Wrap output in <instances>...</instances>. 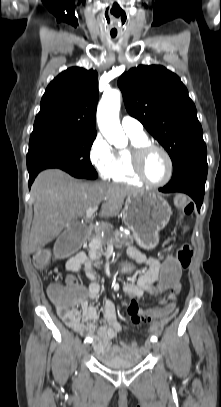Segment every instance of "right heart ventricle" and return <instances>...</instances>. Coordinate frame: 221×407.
Returning a JSON list of instances; mask_svg holds the SVG:
<instances>
[{"instance_id":"e07e8e85","label":"right heart ventricle","mask_w":221,"mask_h":407,"mask_svg":"<svg viewBox=\"0 0 221 407\" xmlns=\"http://www.w3.org/2000/svg\"><path fill=\"white\" fill-rule=\"evenodd\" d=\"M130 138L131 145L129 148L120 149L115 152V167L111 179L115 182L127 183L132 185H141L142 182L135 176L131 167L130 150L133 146L150 143L145 134L135 135L127 134Z\"/></svg>"}]
</instances>
